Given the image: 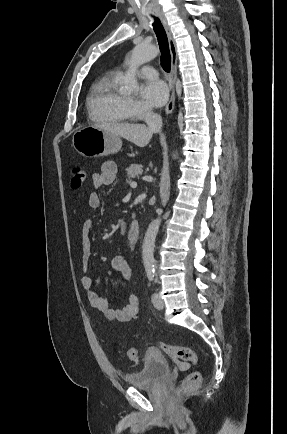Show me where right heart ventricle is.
<instances>
[{
    "instance_id": "obj_1",
    "label": "right heart ventricle",
    "mask_w": 287,
    "mask_h": 434,
    "mask_svg": "<svg viewBox=\"0 0 287 434\" xmlns=\"http://www.w3.org/2000/svg\"><path fill=\"white\" fill-rule=\"evenodd\" d=\"M118 80L119 72L110 71L93 83L87 98L91 120L107 123H124L130 120L125 97L118 90Z\"/></svg>"
}]
</instances>
